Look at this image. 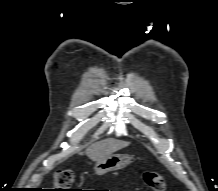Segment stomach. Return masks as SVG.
Masks as SVG:
<instances>
[{
    "label": "stomach",
    "instance_id": "0dacf381",
    "mask_svg": "<svg viewBox=\"0 0 218 191\" xmlns=\"http://www.w3.org/2000/svg\"><path fill=\"white\" fill-rule=\"evenodd\" d=\"M131 163V157L123 154H114L96 162L94 170L97 175L125 168Z\"/></svg>",
    "mask_w": 218,
    "mask_h": 191
}]
</instances>
